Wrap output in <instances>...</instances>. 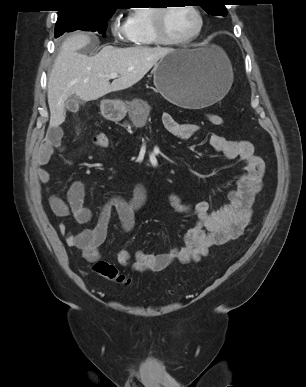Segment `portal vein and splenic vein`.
<instances>
[{
	"mask_svg": "<svg viewBox=\"0 0 306 387\" xmlns=\"http://www.w3.org/2000/svg\"><path fill=\"white\" fill-rule=\"evenodd\" d=\"M117 77H118L117 73H111L110 75H108V78H110V79H115Z\"/></svg>",
	"mask_w": 306,
	"mask_h": 387,
	"instance_id": "18ae733b",
	"label": "portal vein and splenic vein"
}]
</instances>
